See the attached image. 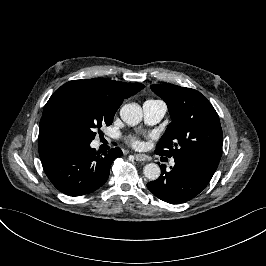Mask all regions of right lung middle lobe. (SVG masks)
<instances>
[{
  "mask_svg": "<svg viewBox=\"0 0 266 266\" xmlns=\"http://www.w3.org/2000/svg\"><path fill=\"white\" fill-rule=\"evenodd\" d=\"M46 105L62 143H90L95 129L112 124L120 106L110 100L101 86L91 83L61 86Z\"/></svg>",
  "mask_w": 266,
  "mask_h": 266,
  "instance_id": "1",
  "label": "right lung middle lobe"
}]
</instances>
